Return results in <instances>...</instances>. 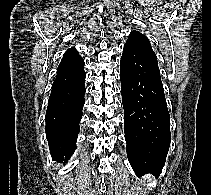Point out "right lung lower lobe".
<instances>
[{"instance_id": "right-lung-lower-lobe-1", "label": "right lung lower lobe", "mask_w": 211, "mask_h": 195, "mask_svg": "<svg viewBox=\"0 0 211 195\" xmlns=\"http://www.w3.org/2000/svg\"><path fill=\"white\" fill-rule=\"evenodd\" d=\"M84 65L57 74L46 111V137L51 156L66 162L76 149L85 94Z\"/></svg>"}]
</instances>
